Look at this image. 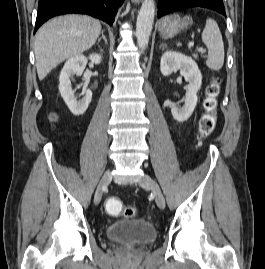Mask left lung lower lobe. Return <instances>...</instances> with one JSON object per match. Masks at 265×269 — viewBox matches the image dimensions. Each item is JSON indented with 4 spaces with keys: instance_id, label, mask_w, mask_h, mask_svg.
I'll return each mask as SVG.
<instances>
[{
    "instance_id": "1",
    "label": "left lung lower lobe",
    "mask_w": 265,
    "mask_h": 269,
    "mask_svg": "<svg viewBox=\"0 0 265 269\" xmlns=\"http://www.w3.org/2000/svg\"><path fill=\"white\" fill-rule=\"evenodd\" d=\"M192 7L208 8L226 16L222 0H159L157 16L160 18L169 13Z\"/></svg>"
}]
</instances>
